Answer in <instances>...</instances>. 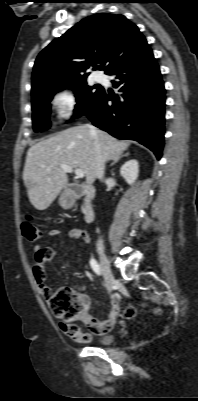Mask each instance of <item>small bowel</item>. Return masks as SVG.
I'll return each instance as SVG.
<instances>
[{
	"instance_id": "1",
	"label": "small bowel",
	"mask_w": 198,
	"mask_h": 401,
	"mask_svg": "<svg viewBox=\"0 0 198 401\" xmlns=\"http://www.w3.org/2000/svg\"><path fill=\"white\" fill-rule=\"evenodd\" d=\"M61 233V231L57 228H53L49 230L50 237H56ZM68 235L72 239H77L82 241L85 244L90 243L89 233L81 228H71L68 231ZM54 251L49 247H43L40 245H36L34 247V258H33V266L32 273L33 277L40 289L41 294L44 297H47L51 293L50 287L46 284V273L45 269L48 262L54 257ZM81 301L87 310L91 308V300L90 297L86 294L80 295ZM120 313V303L117 297H111V310L109 316L106 320H99L95 317L93 323L88 326L90 333H82L79 330L76 335L72 338L80 341V342H88L92 335H102L106 334L112 326L114 325L116 318ZM63 331L68 334V330L64 324H62Z\"/></svg>"
}]
</instances>
